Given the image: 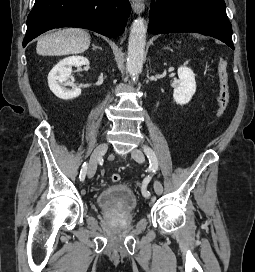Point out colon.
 Listing matches in <instances>:
<instances>
[{"mask_svg":"<svg viewBox=\"0 0 255 272\" xmlns=\"http://www.w3.org/2000/svg\"><path fill=\"white\" fill-rule=\"evenodd\" d=\"M218 78L219 91L217 96L218 116L221 117L227 109L229 103V87H228V64L224 58H220L218 62ZM121 176L117 173L112 174L111 180L119 182Z\"/></svg>","mask_w":255,"mask_h":272,"instance_id":"colon-1","label":"colon"}]
</instances>
